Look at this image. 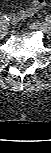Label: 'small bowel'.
<instances>
[{
  "label": "small bowel",
  "instance_id": "c3829d8e",
  "mask_svg": "<svg viewBox=\"0 0 51 153\" xmlns=\"http://www.w3.org/2000/svg\"><path fill=\"white\" fill-rule=\"evenodd\" d=\"M44 5H45V0H43L40 5H36V1L32 0V4L30 7H28L27 9L20 10L16 13L10 14L8 16V19L11 22H18L40 11L44 7Z\"/></svg>",
  "mask_w": 51,
  "mask_h": 153
}]
</instances>
